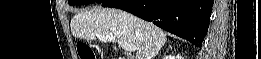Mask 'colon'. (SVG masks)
<instances>
[{"instance_id": "colon-1", "label": "colon", "mask_w": 261, "mask_h": 59, "mask_svg": "<svg viewBox=\"0 0 261 59\" xmlns=\"http://www.w3.org/2000/svg\"><path fill=\"white\" fill-rule=\"evenodd\" d=\"M77 51L80 59H96L93 49L85 43L78 44Z\"/></svg>"}]
</instances>
